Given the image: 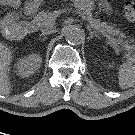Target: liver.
I'll list each match as a JSON object with an SVG mask.
<instances>
[{
	"label": "liver",
	"instance_id": "1",
	"mask_svg": "<svg viewBox=\"0 0 135 135\" xmlns=\"http://www.w3.org/2000/svg\"><path fill=\"white\" fill-rule=\"evenodd\" d=\"M12 54L11 47L0 42V94L3 95H8L11 91L8 71L12 61Z\"/></svg>",
	"mask_w": 135,
	"mask_h": 135
}]
</instances>
